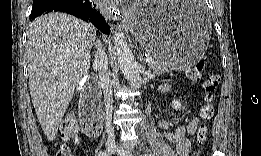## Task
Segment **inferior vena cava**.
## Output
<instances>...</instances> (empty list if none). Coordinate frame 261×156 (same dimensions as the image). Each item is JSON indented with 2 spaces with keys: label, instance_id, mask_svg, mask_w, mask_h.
Wrapping results in <instances>:
<instances>
[{
  "label": "inferior vena cava",
  "instance_id": "602c4592",
  "mask_svg": "<svg viewBox=\"0 0 261 156\" xmlns=\"http://www.w3.org/2000/svg\"><path fill=\"white\" fill-rule=\"evenodd\" d=\"M94 66L98 68L99 80L103 89L105 111H106V130L108 133V145H115L114 128L111 124L112 117V81L108 71V58L101 46H98L95 54Z\"/></svg>",
  "mask_w": 261,
  "mask_h": 156
}]
</instances>
